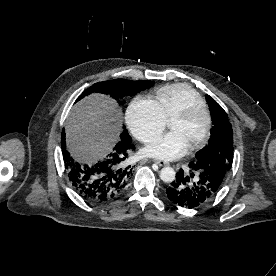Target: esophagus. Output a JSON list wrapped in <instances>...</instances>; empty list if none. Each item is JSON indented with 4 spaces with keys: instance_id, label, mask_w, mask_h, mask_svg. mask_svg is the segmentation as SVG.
<instances>
[{
    "instance_id": "1",
    "label": "esophagus",
    "mask_w": 276,
    "mask_h": 276,
    "mask_svg": "<svg viewBox=\"0 0 276 276\" xmlns=\"http://www.w3.org/2000/svg\"><path fill=\"white\" fill-rule=\"evenodd\" d=\"M153 162H155L156 164L160 165V166H168L169 163L166 161H162V160H153Z\"/></svg>"
}]
</instances>
